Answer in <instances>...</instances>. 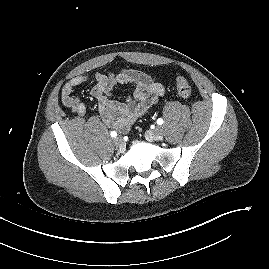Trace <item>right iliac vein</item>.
<instances>
[{"label":"right iliac vein","mask_w":269,"mask_h":269,"mask_svg":"<svg viewBox=\"0 0 269 269\" xmlns=\"http://www.w3.org/2000/svg\"><path fill=\"white\" fill-rule=\"evenodd\" d=\"M113 142H114V144H115L117 147H120V148L124 147V141H123V139H122L121 136H117V137H115V138L113 139Z\"/></svg>","instance_id":"63e3f726"}]
</instances>
